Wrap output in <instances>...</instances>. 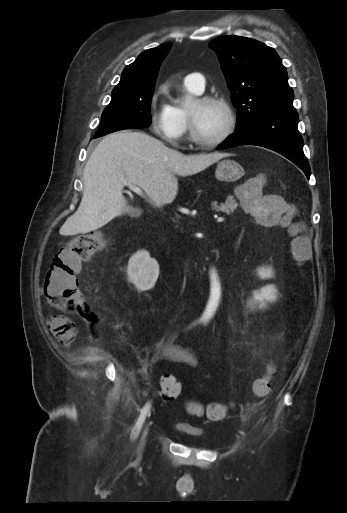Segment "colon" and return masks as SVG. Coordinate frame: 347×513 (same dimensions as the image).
Segmentation results:
<instances>
[{"label": "colon", "instance_id": "colon-1", "mask_svg": "<svg viewBox=\"0 0 347 513\" xmlns=\"http://www.w3.org/2000/svg\"><path fill=\"white\" fill-rule=\"evenodd\" d=\"M261 179L241 183L237 196L243 208L255 215L256 222L262 226L279 225L288 228L292 241V251L295 260L306 262L311 251L304 234L302 224L295 221V210L277 195L263 196ZM104 246L103 238L97 233L78 236L61 247L55 254L44 280V294L49 302L64 312H74L82 317L87 327L96 328L99 317L95 313V305L91 300H84L78 288V274L82 264ZM272 369L267 375L257 379L253 384V392L258 397L266 396L271 387ZM161 394L165 401H175L182 394L180 381L171 374H165L161 379ZM187 411L196 417L205 415L209 420L220 421L228 411L224 403H210L202 406L192 402Z\"/></svg>", "mask_w": 347, "mask_h": 513}]
</instances>
